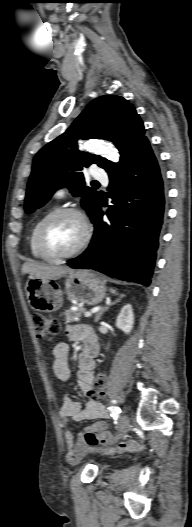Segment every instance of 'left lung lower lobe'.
<instances>
[{"label": "left lung lower lobe", "instance_id": "left-lung-lower-lobe-1", "mask_svg": "<svg viewBox=\"0 0 192 527\" xmlns=\"http://www.w3.org/2000/svg\"><path fill=\"white\" fill-rule=\"evenodd\" d=\"M113 206L102 217L97 209L95 231L87 250L68 261L76 269L88 268L108 276L148 286L156 259L164 214V175L149 141L142 142L127 162L109 174ZM118 237H122L118 241Z\"/></svg>", "mask_w": 192, "mask_h": 527}]
</instances>
